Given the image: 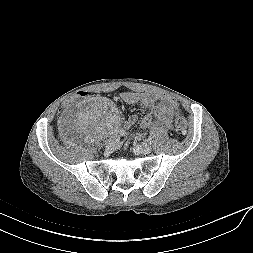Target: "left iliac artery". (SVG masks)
<instances>
[{"instance_id": "44dca946", "label": "left iliac artery", "mask_w": 253, "mask_h": 253, "mask_svg": "<svg viewBox=\"0 0 253 253\" xmlns=\"http://www.w3.org/2000/svg\"><path fill=\"white\" fill-rule=\"evenodd\" d=\"M147 142H148L149 144H152L153 139H152L151 137H149V138L147 139Z\"/></svg>"}]
</instances>
